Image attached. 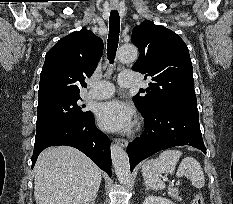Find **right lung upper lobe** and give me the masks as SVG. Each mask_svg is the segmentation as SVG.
Instances as JSON below:
<instances>
[{
  "label": "right lung upper lobe",
  "instance_id": "cb5924a9",
  "mask_svg": "<svg viewBox=\"0 0 233 204\" xmlns=\"http://www.w3.org/2000/svg\"><path fill=\"white\" fill-rule=\"evenodd\" d=\"M103 41L81 29L60 39L45 55L38 101L56 96L79 95L102 56Z\"/></svg>",
  "mask_w": 233,
  "mask_h": 204
}]
</instances>
